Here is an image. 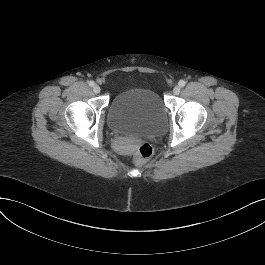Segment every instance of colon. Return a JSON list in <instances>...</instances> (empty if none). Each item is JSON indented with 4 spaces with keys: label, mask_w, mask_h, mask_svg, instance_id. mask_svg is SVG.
<instances>
[{
    "label": "colon",
    "mask_w": 265,
    "mask_h": 265,
    "mask_svg": "<svg viewBox=\"0 0 265 265\" xmlns=\"http://www.w3.org/2000/svg\"><path fill=\"white\" fill-rule=\"evenodd\" d=\"M153 153V149L151 145L147 143H143L140 146L137 147L134 157L137 164H142L146 160H148Z\"/></svg>",
    "instance_id": "colon-1"
}]
</instances>
